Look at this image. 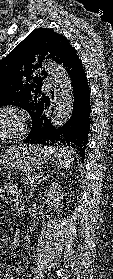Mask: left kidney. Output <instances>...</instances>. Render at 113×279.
Wrapping results in <instances>:
<instances>
[{
  "label": "left kidney",
  "mask_w": 113,
  "mask_h": 279,
  "mask_svg": "<svg viewBox=\"0 0 113 279\" xmlns=\"http://www.w3.org/2000/svg\"><path fill=\"white\" fill-rule=\"evenodd\" d=\"M44 201L46 204L52 208L56 212H59L63 204L62 200L64 199V192L61 190V186L59 183H52L44 192Z\"/></svg>",
  "instance_id": "left-kidney-1"
}]
</instances>
